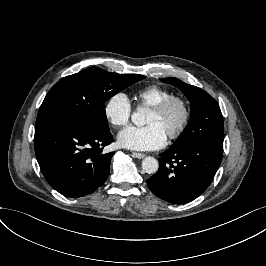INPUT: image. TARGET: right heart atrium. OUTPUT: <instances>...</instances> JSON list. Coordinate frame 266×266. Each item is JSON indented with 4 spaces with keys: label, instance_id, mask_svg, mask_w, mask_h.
Instances as JSON below:
<instances>
[{
    "label": "right heart atrium",
    "instance_id": "d8ad5b80",
    "mask_svg": "<svg viewBox=\"0 0 266 266\" xmlns=\"http://www.w3.org/2000/svg\"><path fill=\"white\" fill-rule=\"evenodd\" d=\"M105 119L112 125L123 127L129 124L133 114V105L123 92L109 96L103 108Z\"/></svg>",
    "mask_w": 266,
    "mask_h": 266
}]
</instances>
